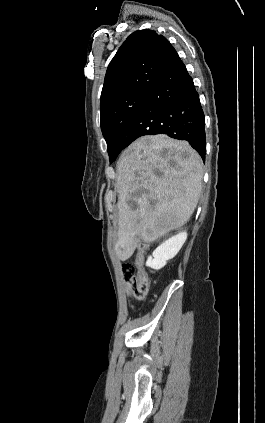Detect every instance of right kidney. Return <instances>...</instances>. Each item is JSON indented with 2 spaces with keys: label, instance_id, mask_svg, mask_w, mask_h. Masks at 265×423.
Wrapping results in <instances>:
<instances>
[{
  "label": "right kidney",
  "instance_id": "1",
  "mask_svg": "<svg viewBox=\"0 0 265 423\" xmlns=\"http://www.w3.org/2000/svg\"><path fill=\"white\" fill-rule=\"evenodd\" d=\"M187 239V233L181 232L158 246L152 256L147 259L146 266L159 270L167 261L174 258Z\"/></svg>",
  "mask_w": 265,
  "mask_h": 423
}]
</instances>
